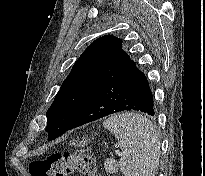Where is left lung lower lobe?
Listing matches in <instances>:
<instances>
[{
	"label": "left lung lower lobe",
	"mask_w": 205,
	"mask_h": 176,
	"mask_svg": "<svg viewBox=\"0 0 205 176\" xmlns=\"http://www.w3.org/2000/svg\"><path fill=\"white\" fill-rule=\"evenodd\" d=\"M125 110L155 114L148 80L131 59L95 91L80 108L68 130Z\"/></svg>",
	"instance_id": "0a47b994"
}]
</instances>
